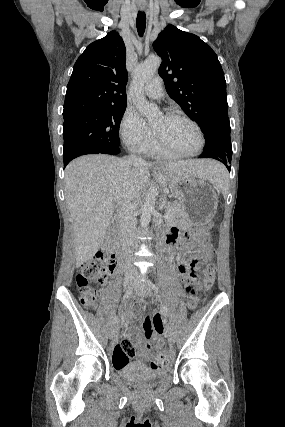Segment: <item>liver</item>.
Returning <instances> with one entry per match:
<instances>
[{"instance_id": "obj_1", "label": "liver", "mask_w": 285, "mask_h": 427, "mask_svg": "<svg viewBox=\"0 0 285 427\" xmlns=\"http://www.w3.org/2000/svg\"><path fill=\"white\" fill-rule=\"evenodd\" d=\"M217 166L220 164L212 160L129 164L127 159L103 154L81 156L70 162L65 169L64 192L73 222L76 266L98 252L117 205L128 200L139 204L150 169L166 188L178 174L211 182Z\"/></svg>"}]
</instances>
